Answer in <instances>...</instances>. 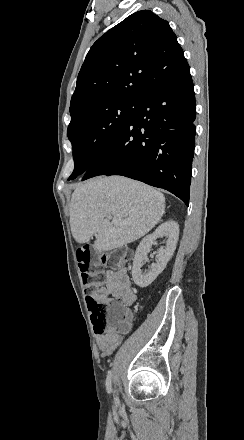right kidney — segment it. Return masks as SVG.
<instances>
[{"label":"right kidney","mask_w":244,"mask_h":440,"mask_svg":"<svg viewBox=\"0 0 244 440\" xmlns=\"http://www.w3.org/2000/svg\"><path fill=\"white\" fill-rule=\"evenodd\" d=\"M163 236H166V238H168L165 250H162V248H160L157 256V264H151L146 274H143L140 268L141 266H144L146 262L145 256L147 252H149V248H151L154 240H157V238H163ZM178 238L179 226L177 222H174V220L164 222V224H161V226H159V228H157V230H155L153 234H150V236H146V238H143L142 242H140L136 250L135 260L133 262L132 268V278L136 286H139V288H147V286H150V284H152V282L156 280L158 274H161V272H163L169 260H171L176 250Z\"/></svg>","instance_id":"obj_1"}]
</instances>
